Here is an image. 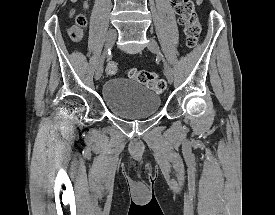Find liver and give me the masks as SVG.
I'll list each match as a JSON object with an SVG mask.
<instances>
[{
    "label": "liver",
    "mask_w": 275,
    "mask_h": 215,
    "mask_svg": "<svg viewBox=\"0 0 275 215\" xmlns=\"http://www.w3.org/2000/svg\"><path fill=\"white\" fill-rule=\"evenodd\" d=\"M72 2H76L77 0H71Z\"/></svg>",
    "instance_id": "liver-1"
}]
</instances>
